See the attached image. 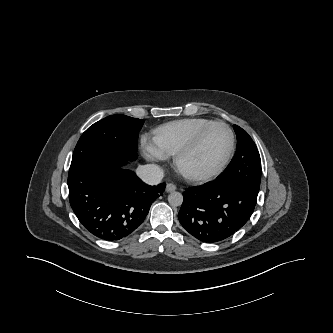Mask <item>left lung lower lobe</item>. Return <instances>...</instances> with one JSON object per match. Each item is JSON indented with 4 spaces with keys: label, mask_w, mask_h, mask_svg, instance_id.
<instances>
[{
    "label": "left lung lower lobe",
    "mask_w": 333,
    "mask_h": 333,
    "mask_svg": "<svg viewBox=\"0 0 333 333\" xmlns=\"http://www.w3.org/2000/svg\"><path fill=\"white\" fill-rule=\"evenodd\" d=\"M258 192L239 182L211 181L183 193L178 219L185 230L205 243L227 239L251 217Z\"/></svg>",
    "instance_id": "left-lung-lower-lobe-1"
}]
</instances>
